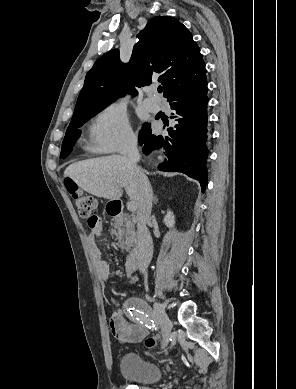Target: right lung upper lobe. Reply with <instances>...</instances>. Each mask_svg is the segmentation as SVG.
Wrapping results in <instances>:
<instances>
[{
    "label": "right lung upper lobe",
    "instance_id": "cb5924a9",
    "mask_svg": "<svg viewBox=\"0 0 296 389\" xmlns=\"http://www.w3.org/2000/svg\"><path fill=\"white\" fill-rule=\"evenodd\" d=\"M129 63L119 59V51L101 56L87 73L74 115L87 108L106 107L135 87L163 84L168 102L207 86L203 56L188 29L170 16L151 19L137 36ZM130 81L133 84H130Z\"/></svg>",
    "mask_w": 296,
    "mask_h": 389
}]
</instances>
